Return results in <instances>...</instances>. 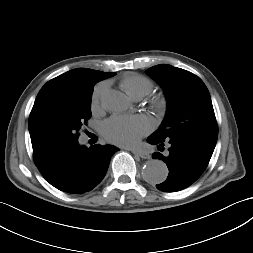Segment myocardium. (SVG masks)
<instances>
[{"mask_svg": "<svg viewBox=\"0 0 253 253\" xmlns=\"http://www.w3.org/2000/svg\"><path fill=\"white\" fill-rule=\"evenodd\" d=\"M150 104L153 109H155L158 112H162L165 110L167 101L166 98L162 95H155L151 98Z\"/></svg>", "mask_w": 253, "mask_h": 253, "instance_id": "obj_1", "label": "myocardium"}]
</instances>
